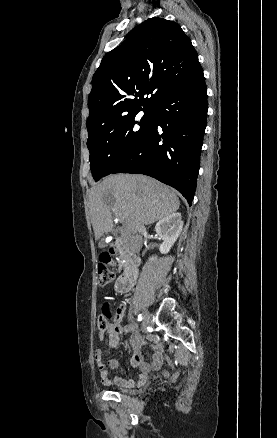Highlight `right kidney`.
I'll return each mask as SVG.
<instances>
[{
    "instance_id": "right-kidney-1",
    "label": "right kidney",
    "mask_w": 277,
    "mask_h": 438,
    "mask_svg": "<svg viewBox=\"0 0 277 438\" xmlns=\"http://www.w3.org/2000/svg\"><path fill=\"white\" fill-rule=\"evenodd\" d=\"M183 224L184 222H182V216L179 212L169 214V216H165L163 220L157 222L155 232L163 240L159 246V252H161V254H168V252H170L173 244H175L182 232ZM156 258L157 256H152L149 260L153 262Z\"/></svg>"
}]
</instances>
